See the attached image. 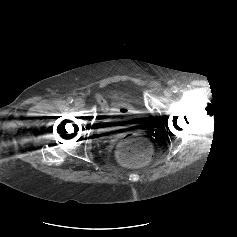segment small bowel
Returning a JSON list of instances; mask_svg holds the SVG:
<instances>
[{"mask_svg": "<svg viewBox=\"0 0 237 237\" xmlns=\"http://www.w3.org/2000/svg\"><path fill=\"white\" fill-rule=\"evenodd\" d=\"M98 101L101 105L102 110L107 113V114H125L127 113L129 110L124 106V105H116L115 107L110 108L108 103L106 102V100L104 98H102L101 96H98Z\"/></svg>", "mask_w": 237, "mask_h": 237, "instance_id": "1", "label": "small bowel"}]
</instances>
